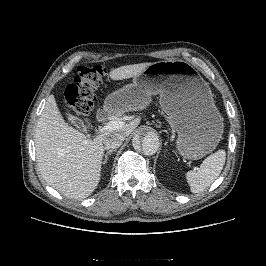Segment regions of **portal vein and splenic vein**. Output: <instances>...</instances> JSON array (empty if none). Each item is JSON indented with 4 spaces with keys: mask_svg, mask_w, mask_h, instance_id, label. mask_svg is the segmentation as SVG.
<instances>
[{
    "mask_svg": "<svg viewBox=\"0 0 266 266\" xmlns=\"http://www.w3.org/2000/svg\"><path fill=\"white\" fill-rule=\"evenodd\" d=\"M125 125V123L121 120H112L107 122L102 128H100L96 135L99 136L102 133H105L107 131L117 130L122 128Z\"/></svg>",
    "mask_w": 266,
    "mask_h": 266,
    "instance_id": "portal-vein-and-splenic-vein-1",
    "label": "portal vein and splenic vein"
}]
</instances>
